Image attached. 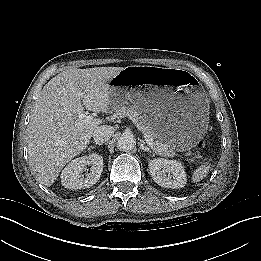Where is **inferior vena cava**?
<instances>
[{
  "mask_svg": "<svg viewBox=\"0 0 261 261\" xmlns=\"http://www.w3.org/2000/svg\"><path fill=\"white\" fill-rule=\"evenodd\" d=\"M113 133L110 126H100L93 132V138L96 143H104L108 141Z\"/></svg>",
  "mask_w": 261,
  "mask_h": 261,
  "instance_id": "obj_1",
  "label": "inferior vena cava"
}]
</instances>
